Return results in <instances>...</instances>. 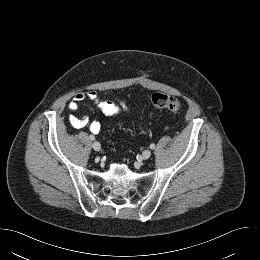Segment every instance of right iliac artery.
I'll list each match as a JSON object with an SVG mask.
<instances>
[{
	"label": "right iliac artery",
	"instance_id": "right-iliac-artery-1",
	"mask_svg": "<svg viewBox=\"0 0 260 260\" xmlns=\"http://www.w3.org/2000/svg\"><path fill=\"white\" fill-rule=\"evenodd\" d=\"M90 139L94 140L95 139L94 135H90Z\"/></svg>",
	"mask_w": 260,
	"mask_h": 260
}]
</instances>
